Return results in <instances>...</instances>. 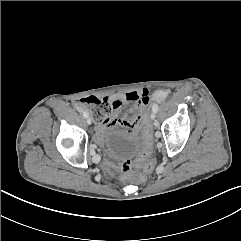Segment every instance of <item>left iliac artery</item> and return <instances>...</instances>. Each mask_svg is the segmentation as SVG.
<instances>
[{"label":"left iliac artery","mask_w":241,"mask_h":241,"mask_svg":"<svg viewBox=\"0 0 241 241\" xmlns=\"http://www.w3.org/2000/svg\"><path fill=\"white\" fill-rule=\"evenodd\" d=\"M158 109H159L158 104H153V107H152L153 112L156 113L158 111Z\"/></svg>","instance_id":"44dca946"}]
</instances>
